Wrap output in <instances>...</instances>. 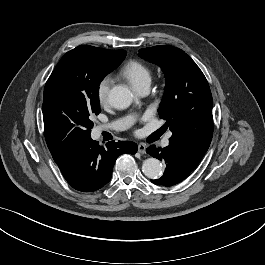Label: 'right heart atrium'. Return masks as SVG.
I'll return each instance as SVG.
<instances>
[{
  "instance_id": "right-heart-atrium-1",
  "label": "right heart atrium",
  "mask_w": 265,
  "mask_h": 265,
  "mask_svg": "<svg viewBox=\"0 0 265 265\" xmlns=\"http://www.w3.org/2000/svg\"><path fill=\"white\" fill-rule=\"evenodd\" d=\"M113 80L110 76H105L100 79L97 84L96 94L97 99L101 105H104L108 102L109 92L112 86Z\"/></svg>"
}]
</instances>
